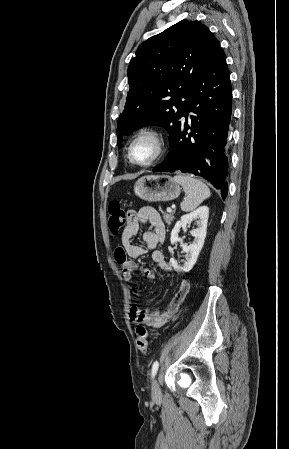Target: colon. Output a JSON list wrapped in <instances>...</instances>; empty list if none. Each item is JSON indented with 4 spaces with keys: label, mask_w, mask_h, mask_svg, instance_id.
Wrapping results in <instances>:
<instances>
[{
    "label": "colon",
    "mask_w": 289,
    "mask_h": 449,
    "mask_svg": "<svg viewBox=\"0 0 289 449\" xmlns=\"http://www.w3.org/2000/svg\"><path fill=\"white\" fill-rule=\"evenodd\" d=\"M108 214L110 231L113 234L119 233L126 221V215L121 204L118 201H112L108 206ZM148 335L149 333L145 326L139 325L136 328V344L142 354H146L148 351Z\"/></svg>",
    "instance_id": "5ec220e1"
}]
</instances>
